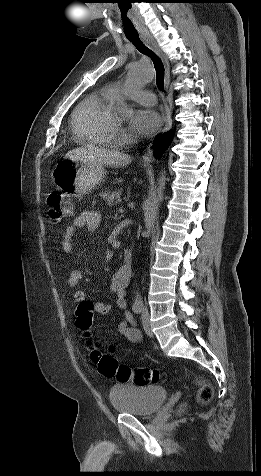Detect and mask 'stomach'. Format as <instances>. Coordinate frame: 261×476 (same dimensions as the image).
<instances>
[{"instance_id": "obj_1", "label": "stomach", "mask_w": 261, "mask_h": 476, "mask_svg": "<svg viewBox=\"0 0 261 476\" xmlns=\"http://www.w3.org/2000/svg\"><path fill=\"white\" fill-rule=\"evenodd\" d=\"M104 165L89 161L66 159L53 170V180L64 195H86L106 176Z\"/></svg>"}]
</instances>
